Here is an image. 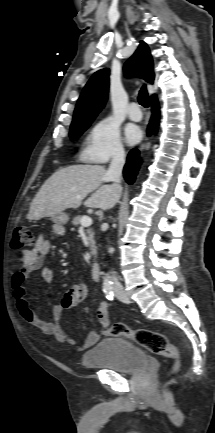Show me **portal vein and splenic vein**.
I'll list each match as a JSON object with an SVG mask.
<instances>
[{"label":"portal vein and splenic vein","instance_id":"portal-vein-and-splenic-vein-1","mask_svg":"<svg viewBox=\"0 0 215 433\" xmlns=\"http://www.w3.org/2000/svg\"><path fill=\"white\" fill-rule=\"evenodd\" d=\"M92 224V219L88 216H84L81 220V225L83 227H88Z\"/></svg>","mask_w":215,"mask_h":433}]
</instances>
